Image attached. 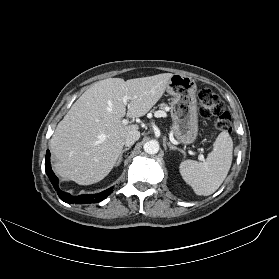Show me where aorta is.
Instances as JSON below:
<instances>
[{
  "mask_svg": "<svg viewBox=\"0 0 279 279\" xmlns=\"http://www.w3.org/2000/svg\"><path fill=\"white\" fill-rule=\"evenodd\" d=\"M143 149L148 154H156L159 151V143L156 140H149L143 145Z\"/></svg>",
  "mask_w": 279,
  "mask_h": 279,
  "instance_id": "762f6f07",
  "label": "aorta"
}]
</instances>
